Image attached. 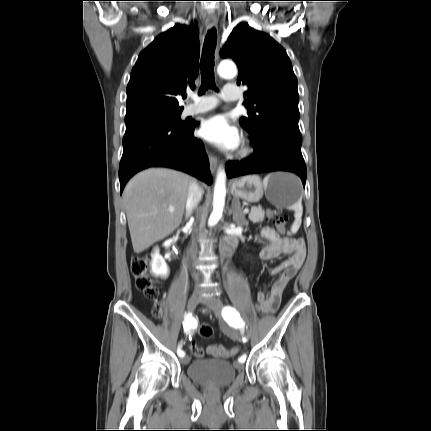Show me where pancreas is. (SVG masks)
I'll return each instance as SVG.
<instances>
[{
    "mask_svg": "<svg viewBox=\"0 0 431 431\" xmlns=\"http://www.w3.org/2000/svg\"><path fill=\"white\" fill-rule=\"evenodd\" d=\"M248 218L253 223L262 222L265 218V211L262 209L261 206L252 207Z\"/></svg>",
    "mask_w": 431,
    "mask_h": 431,
    "instance_id": "obj_1",
    "label": "pancreas"
}]
</instances>
